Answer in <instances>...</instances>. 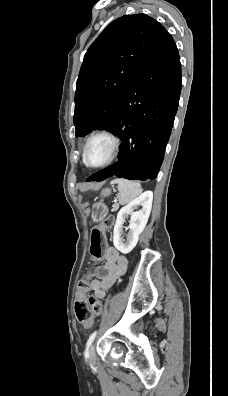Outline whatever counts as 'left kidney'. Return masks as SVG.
<instances>
[{"label":"left kidney","mask_w":228,"mask_h":396,"mask_svg":"<svg viewBox=\"0 0 228 396\" xmlns=\"http://www.w3.org/2000/svg\"><path fill=\"white\" fill-rule=\"evenodd\" d=\"M153 201V193L151 191H146L141 194L139 197L131 201L126 206L122 207L118 212L116 223L113 231V244L117 250H119L123 254H128L133 250L136 246L139 235L144 230L150 212L152 208ZM139 206H142V209L138 211H134ZM130 215V223H129V237L127 241H124L121 238V234L123 232V224L125 222V218Z\"/></svg>","instance_id":"5707ae66"}]
</instances>
